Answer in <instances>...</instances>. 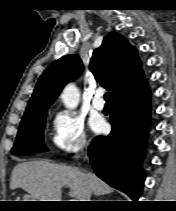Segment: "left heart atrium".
<instances>
[{
	"instance_id": "left-heart-atrium-1",
	"label": "left heart atrium",
	"mask_w": 176,
	"mask_h": 211,
	"mask_svg": "<svg viewBox=\"0 0 176 211\" xmlns=\"http://www.w3.org/2000/svg\"><path fill=\"white\" fill-rule=\"evenodd\" d=\"M91 126H92V129L98 133L103 132L106 128V124H105L104 120L101 119L100 117H94L91 120Z\"/></svg>"
}]
</instances>
